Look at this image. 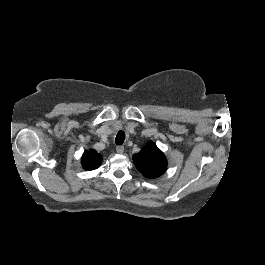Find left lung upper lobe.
<instances>
[{"instance_id":"obj_1","label":"left lung upper lobe","mask_w":265,"mask_h":265,"mask_svg":"<svg viewBox=\"0 0 265 265\" xmlns=\"http://www.w3.org/2000/svg\"><path fill=\"white\" fill-rule=\"evenodd\" d=\"M137 169L148 178H157L167 168L165 155L153 142H148L142 150L133 156Z\"/></svg>"}]
</instances>
